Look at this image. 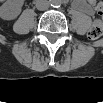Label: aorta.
<instances>
[{
  "label": "aorta",
  "instance_id": "aorta-1",
  "mask_svg": "<svg viewBox=\"0 0 103 103\" xmlns=\"http://www.w3.org/2000/svg\"><path fill=\"white\" fill-rule=\"evenodd\" d=\"M53 5L57 6V5H58V2H53Z\"/></svg>",
  "mask_w": 103,
  "mask_h": 103
}]
</instances>
